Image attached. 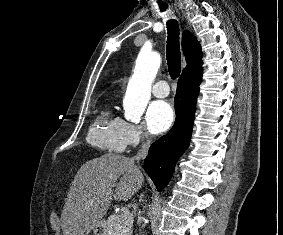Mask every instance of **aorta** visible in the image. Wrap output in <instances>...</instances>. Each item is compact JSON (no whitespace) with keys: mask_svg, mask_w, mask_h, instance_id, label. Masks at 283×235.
I'll return each mask as SVG.
<instances>
[{"mask_svg":"<svg viewBox=\"0 0 283 235\" xmlns=\"http://www.w3.org/2000/svg\"><path fill=\"white\" fill-rule=\"evenodd\" d=\"M161 64L157 52L141 51L123 100L124 117L138 123L151 96V86Z\"/></svg>","mask_w":283,"mask_h":235,"instance_id":"1","label":"aorta"}]
</instances>
